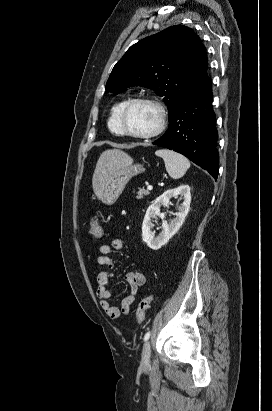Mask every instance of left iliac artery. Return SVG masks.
I'll return each mask as SVG.
<instances>
[{
	"label": "left iliac artery",
	"instance_id": "obj_1",
	"mask_svg": "<svg viewBox=\"0 0 272 411\" xmlns=\"http://www.w3.org/2000/svg\"><path fill=\"white\" fill-rule=\"evenodd\" d=\"M150 335H151V332L148 331L144 336V341H147L149 339Z\"/></svg>",
	"mask_w": 272,
	"mask_h": 411
}]
</instances>
